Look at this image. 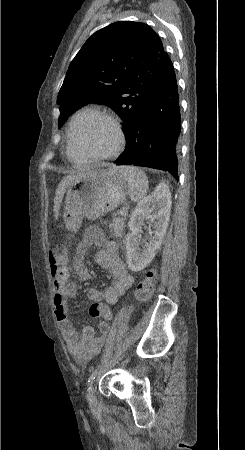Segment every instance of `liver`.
Wrapping results in <instances>:
<instances>
[{"label": "liver", "instance_id": "1", "mask_svg": "<svg viewBox=\"0 0 245 450\" xmlns=\"http://www.w3.org/2000/svg\"><path fill=\"white\" fill-rule=\"evenodd\" d=\"M90 171L87 172H79L76 174H71L67 177H65L58 185V188L56 189L55 198H54V216L57 217L60 210V204L62 202L63 196L67 190V188L70 186V184L77 178L83 177L87 174H89Z\"/></svg>", "mask_w": 245, "mask_h": 450}]
</instances>
